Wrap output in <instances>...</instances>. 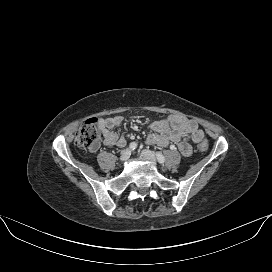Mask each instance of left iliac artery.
<instances>
[{
	"instance_id": "obj_1",
	"label": "left iliac artery",
	"mask_w": 272,
	"mask_h": 272,
	"mask_svg": "<svg viewBox=\"0 0 272 272\" xmlns=\"http://www.w3.org/2000/svg\"><path fill=\"white\" fill-rule=\"evenodd\" d=\"M156 156L159 163L165 162V157L160 152H157Z\"/></svg>"
}]
</instances>
